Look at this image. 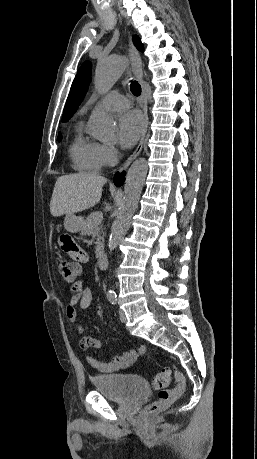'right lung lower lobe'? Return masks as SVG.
Listing matches in <instances>:
<instances>
[{
    "mask_svg": "<svg viewBox=\"0 0 257 459\" xmlns=\"http://www.w3.org/2000/svg\"><path fill=\"white\" fill-rule=\"evenodd\" d=\"M124 175H125L124 172L121 173V174H119V173H116V174H115V177H114V183H115V185H117V186H121V185H122V183H123V181H124Z\"/></svg>",
    "mask_w": 257,
    "mask_h": 459,
    "instance_id": "obj_1",
    "label": "right lung lower lobe"
}]
</instances>
